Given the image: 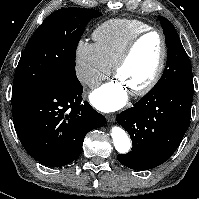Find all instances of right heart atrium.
Listing matches in <instances>:
<instances>
[{
    "label": "right heart atrium",
    "instance_id": "1",
    "mask_svg": "<svg viewBox=\"0 0 199 199\" xmlns=\"http://www.w3.org/2000/svg\"><path fill=\"white\" fill-rule=\"evenodd\" d=\"M111 73V65L95 43L80 40L75 49V74L84 85L95 88Z\"/></svg>",
    "mask_w": 199,
    "mask_h": 199
}]
</instances>
